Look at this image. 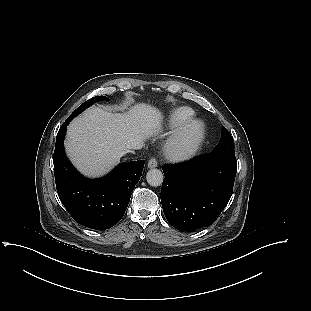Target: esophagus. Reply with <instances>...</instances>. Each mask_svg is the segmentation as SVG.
I'll list each match as a JSON object with an SVG mask.
<instances>
[{
	"instance_id": "1",
	"label": "esophagus",
	"mask_w": 311,
	"mask_h": 311,
	"mask_svg": "<svg viewBox=\"0 0 311 311\" xmlns=\"http://www.w3.org/2000/svg\"><path fill=\"white\" fill-rule=\"evenodd\" d=\"M157 164H158L157 160L155 158H151L148 161L147 166H148V168H155V167H157Z\"/></svg>"
}]
</instances>
